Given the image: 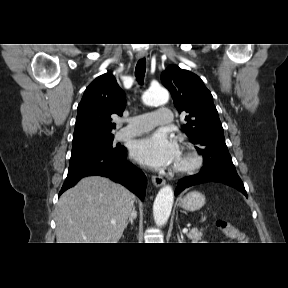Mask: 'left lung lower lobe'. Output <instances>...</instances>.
<instances>
[{
    "label": "left lung lower lobe",
    "instance_id": "obj_1",
    "mask_svg": "<svg viewBox=\"0 0 288 288\" xmlns=\"http://www.w3.org/2000/svg\"><path fill=\"white\" fill-rule=\"evenodd\" d=\"M206 182H219L226 184L239 190L247 197V193L245 191L243 182L241 181L238 174L218 169L201 170V172L198 174L182 178L181 180L178 181V186L175 190V195L179 194L182 190H184L187 187Z\"/></svg>",
    "mask_w": 288,
    "mask_h": 288
}]
</instances>
